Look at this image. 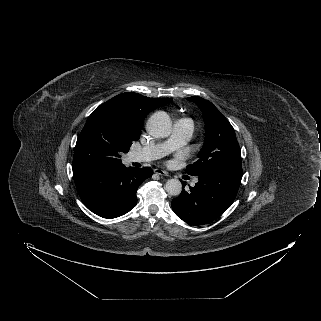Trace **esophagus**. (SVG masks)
Instances as JSON below:
<instances>
[{
	"mask_svg": "<svg viewBox=\"0 0 321 321\" xmlns=\"http://www.w3.org/2000/svg\"><path fill=\"white\" fill-rule=\"evenodd\" d=\"M154 173L158 174V175H162V176H168V173L162 169L156 168L154 169Z\"/></svg>",
	"mask_w": 321,
	"mask_h": 321,
	"instance_id": "obj_1",
	"label": "esophagus"
}]
</instances>
